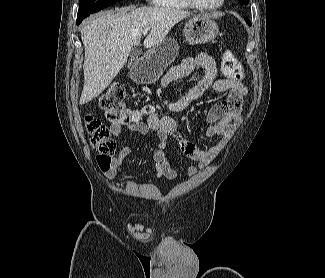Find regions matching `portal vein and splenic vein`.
<instances>
[{
  "instance_id": "1",
  "label": "portal vein and splenic vein",
  "mask_w": 325,
  "mask_h": 278,
  "mask_svg": "<svg viewBox=\"0 0 325 278\" xmlns=\"http://www.w3.org/2000/svg\"><path fill=\"white\" fill-rule=\"evenodd\" d=\"M150 30V28H145L143 31H142V34L143 35H147L148 31Z\"/></svg>"
}]
</instances>
